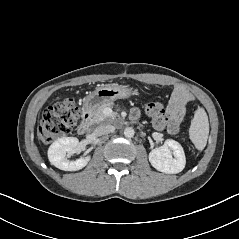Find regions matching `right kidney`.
<instances>
[{
  "label": "right kidney",
  "mask_w": 239,
  "mask_h": 239,
  "mask_svg": "<svg viewBox=\"0 0 239 239\" xmlns=\"http://www.w3.org/2000/svg\"><path fill=\"white\" fill-rule=\"evenodd\" d=\"M79 141L75 137H63L54 141L48 149V159L52 165L64 171H77L84 168L90 156H83L76 161L66 159V153H70L78 146Z\"/></svg>",
  "instance_id": "ca27d5eb"
}]
</instances>
